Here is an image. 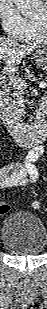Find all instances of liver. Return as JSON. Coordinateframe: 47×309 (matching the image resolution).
I'll return each instance as SVG.
<instances>
[{
    "mask_svg": "<svg viewBox=\"0 0 47 309\" xmlns=\"http://www.w3.org/2000/svg\"><path fill=\"white\" fill-rule=\"evenodd\" d=\"M37 49L36 45H23L15 40L0 37V60L5 62L3 74H15L19 70L21 60Z\"/></svg>",
    "mask_w": 47,
    "mask_h": 309,
    "instance_id": "liver-1",
    "label": "liver"
}]
</instances>
